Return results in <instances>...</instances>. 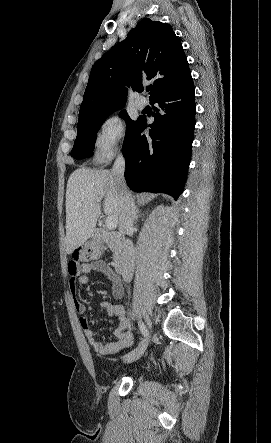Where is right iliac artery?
I'll return each mask as SVG.
<instances>
[{"mask_svg": "<svg viewBox=\"0 0 271 443\" xmlns=\"http://www.w3.org/2000/svg\"><path fill=\"white\" fill-rule=\"evenodd\" d=\"M139 328H140L142 335L144 337H148V330H147L146 326L144 325V323H142L141 321L139 322Z\"/></svg>", "mask_w": 271, "mask_h": 443, "instance_id": "right-iliac-artery-1", "label": "right iliac artery"}]
</instances>
